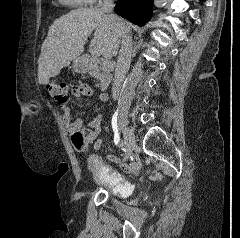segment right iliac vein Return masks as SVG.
Masks as SVG:
<instances>
[{"mask_svg":"<svg viewBox=\"0 0 240 238\" xmlns=\"http://www.w3.org/2000/svg\"><path fill=\"white\" fill-rule=\"evenodd\" d=\"M123 138L127 148V153L125 156V159H127L129 155L132 153V151L134 150L136 146V142H135V137L133 135V132L127 127L123 129Z\"/></svg>","mask_w":240,"mask_h":238,"instance_id":"right-iliac-vein-1","label":"right iliac vein"}]
</instances>
